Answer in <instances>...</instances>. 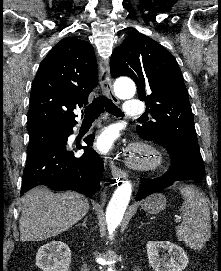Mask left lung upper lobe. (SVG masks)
I'll return each instance as SVG.
<instances>
[{"label":"left lung upper lobe","instance_id":"left-lung-upper-lobe-1","mask_svg":"<svg viewBox=\"0 0 221 271\" xmlns=\"http://www.w3.org/2000/svg\"><path fill=\"white\" fill-rule=\"evenodd\" d=\"M110 71L114 78L123 75L135 81L139 99L155 119L137 126L140 137L172 140L200 153L181 70L163 46L144 34H130L114 49Z\"/></svg>","mask_w":221,"mask_h":271}]
</instances>
